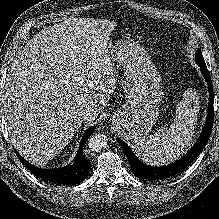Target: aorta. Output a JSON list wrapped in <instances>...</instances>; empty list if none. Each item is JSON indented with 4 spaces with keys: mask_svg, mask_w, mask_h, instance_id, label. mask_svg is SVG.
Segmentation results:
<instances>
[{
    "mask_svg": "<svg viewBox=\"0 0 219 219\" xmlns=\"http://www.w3.org/2000/svg\"><path fill=\"white\" fill-rule=\"evenodd\" d=\"M88 147L92 152H101L107 147V137L103 134H94L88 140Z\"/></svg>",
    "mask_w": 219,
    "mask_h": 219,
    "instance_id": "762f6f07",
    "label": "aorta"
}]
</instances>
